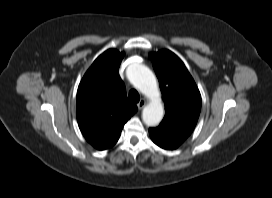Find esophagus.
I'll use <instances>...</instances> for the list:
<instances>
[{
  "mask_svg": "<svg viewBox=\"0 0 272 198\" xmlns=\"http://www.w3.org/2000/svg\"><path fill=\"white\" fill-rule=\"evenodd\" d=\"M145 105H146L145 99H141V100L137 103L138 109H142Z\"/></svg>",
  "mask_w": 272,
  "mask_h": 198,
  "instance_id": "1",
  "label": "esophagus"
}]
</instances>
